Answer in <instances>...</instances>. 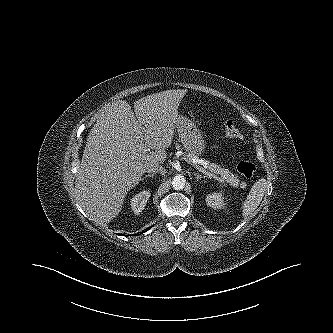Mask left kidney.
I'll list each match as a JSON object with an SVG mask.
<instances>
[{
	"label": "left kidney",
	"instance_id": "5707ae66",
	"mask_svg": "<svg viewBox=\"0 0 333 333\" xmlns=\"http://www.w3.org/2000/svg\"><path fill=\"white\" fill-rule=\"evenodd\" d=\"M224 198L222 197V193H212L208 194L206 197V203L208 206L214 209H224L225 203Z\"/></svg>",
	"mask_w": 333,
	"mask_h": 333
}]
</instances>
